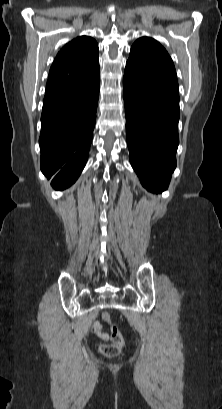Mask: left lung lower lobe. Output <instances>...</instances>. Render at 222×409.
<instances>
[{"label": "left lung lower lobe", "instance_id": "1", "mask_svg": "<svg viewBox=\"0 0 222 409\" xmlns=\"http://www.w3.org/2000/svg\"><path fill=\"white\" fill-rule=\"evenodd\" d=\"M123 92L130 162L150 191L167 189L179 144V96L124 74Z\"/></svg>", "mask_w": 222, "mask_h": 409}]
</instances>
